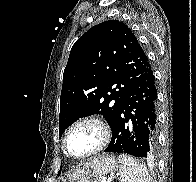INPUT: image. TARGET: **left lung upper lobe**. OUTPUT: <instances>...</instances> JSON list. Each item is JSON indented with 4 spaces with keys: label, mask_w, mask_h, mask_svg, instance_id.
Here are the masks:
<instances>
[{
    "label": "left lung upper lobe",
    "mask_w": 196,
    "mask_h": 182,
    "mask_svg": "<svg viewBox=\"0 0 196 182\" xmlns=\"http://www.w3.org/2000/svg\"><path fill=\"white\" fill-rule=\"evenodd\" d=\"M148 66L137 38L123 22L109 20L90 28L73 45L64 70L60 137L79 118L93 114H102L113 130L125 97Z\"/></svg>",
    "instance_id": "obj_1"
}]
</instances>
